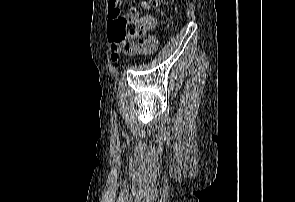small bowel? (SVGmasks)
Returning <instances> with one entry per match:
<instances>
[{
  "label": "small bowel",
  "instance_id": "1",
  "mask_svg": "<svg viewBox=\"0 0 295 202\" xmlns=\"http://www.w3.org/2000/svg\"><path fill=\"white\" fill-rule=\"evenodd\" d=\"M122 2L123 0H108V18L111 22L116 21L122 14ZM147 28H152L155 25V20L153 18H148ZM146 43L152 45V48L146 53H152L155 51L157 47V39L154 36H147L144 40ZM122 52H130L135 53L138 52V47L134 45H124L121 47L114 48V53L112 55V60L116 62L118 60V56Z\"/></svg>",
  "mask_w": 295,
  "mask_h": 202
}]
</instances>
